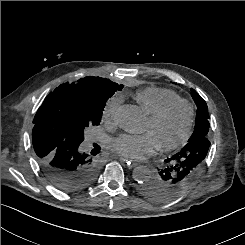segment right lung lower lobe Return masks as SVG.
Masks as SVG:
<instances>
[{"label":"right lung lower lobe","mask_w":245,"mask_h":245,"mask_svg":"<svg viewBox=\"0 0 245 245\" xmlns=\"http://www.w3.org/2000/svg\"><path fill=\"white\" fill-rule=\"evenodd\" d=\"M32 141L42 173L57 189L77 192L96 179L99 163L80 151V143L64 139L51 130L33 133Z\"/></svg>","instance_id":"98d812e1"}]
</instances>
